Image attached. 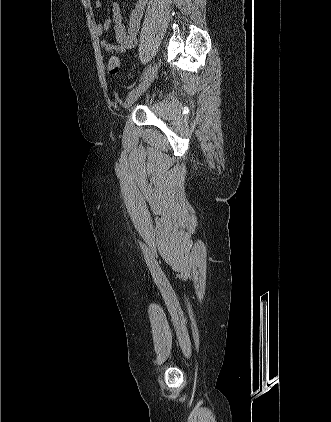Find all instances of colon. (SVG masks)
Masks as SVG:
<instances>
[{
  "label": "colon",
  "mask_w": 331,
  "mask_h": 422,
  "mask_svg": "<svg viewBox=\"0 0 331 422\" xmlns=\"http://www.w3.org/2000/svg\"><path fill=\"white\" fill-rule=\"evenodd\" d=\"M120 69V59L113 55L109 58L108 64H107V70L110 75H116L119 72Z\"/></svg>",
  "instance_id": "colon-1"
}]
</instances>
